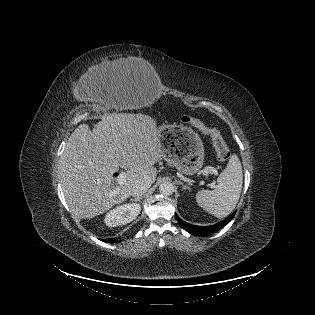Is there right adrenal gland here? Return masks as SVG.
<instances>
[{
    "instance_id": "1",
    "label": "right adrenal gland",
    "mask_w": 315,
    "mask_h": 315,
    "mask_svg": "<svg viewBox=\"0 0 315 315\" xmlns=\"http://www.w3.org/2000/svg\"><path fill=\"white\" fill-rule=\"evenodd\" d=\"M141 199H143V197H136V198L132 199V201H134V202L138 201L140 203Z\"/></svg>"
}]
</instances>
